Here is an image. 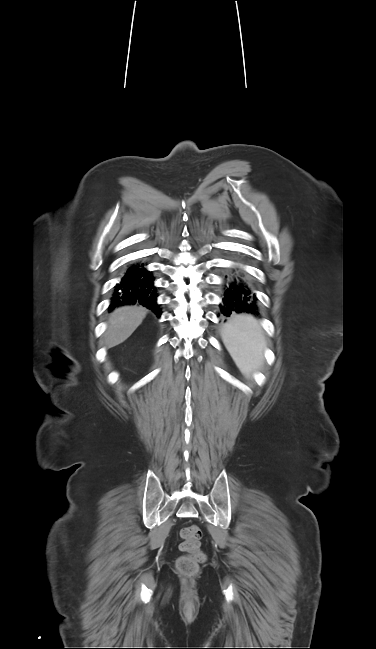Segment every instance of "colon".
<instances>
[{
    "mask_svg": "<svg viewBox=\"0 0 376 649\" xmlns=\"http://www.w3.org/2000/svg\"><path fill=\"white\" fill-rule=\"evenodd\" d=\"M181 537L180 549L186 555L177 560V569L186 575L194 574L198 566L205 561V555L200 549L201 529L197 525L187 526L182 529Z\"/></svg>",
    "mask_w": 376,
    "mask_h": 649,
    "instance_id": "1",
    "label": "colon"
}]
</instances>
